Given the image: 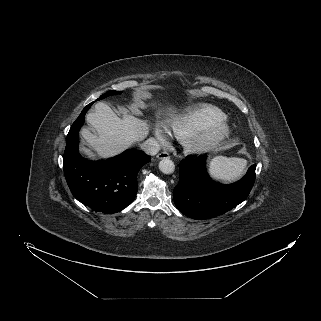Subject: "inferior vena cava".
I'll return each mask as SVG.
<instances>
[{"label": "inferior vena cava", "instance_id": "obj_1", "mask_svg": "<svg viewBox=\"0 0 321 321\" xmlns=\"http://www.w3.org/2000/svg\"><path fill=\"white\" fill-rule=\"evenodd\" d=\"M140 148L145 153H147L151 156L156 155L160 150V146L154 138H149L146 141H144L142 144H140Z\"/></svg>", "mask_w": 321, "mask_h": 321}]
</instances>
